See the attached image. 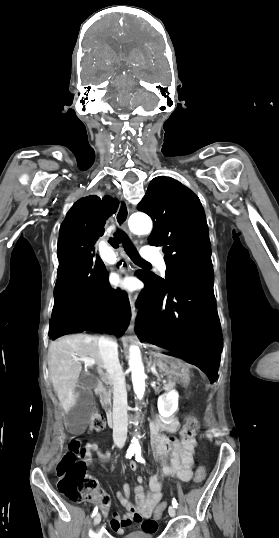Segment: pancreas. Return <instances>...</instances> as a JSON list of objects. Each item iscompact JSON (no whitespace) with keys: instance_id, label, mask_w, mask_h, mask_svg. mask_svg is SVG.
Wrapping results in <instances>:
<instances>
[{"instance_id":"cf45deb5","label":"pancreas","mask_w":279,"mask_h":538,"mask_svg":"<svg viewBox=\"0 0 279 538\" xmlns=\"http://www.w3.org/2000/svg\"><path fill=\"white\" fill-rule=\"evenodd\" d=\"M174 384H175V381L173 379H169L168 381H164L163 383H160V388L169 389ZM111 392L112 390H103V392H101L100 394L101 404H104V402H107V404H111Z\"/></svg>"}]
</instances>
